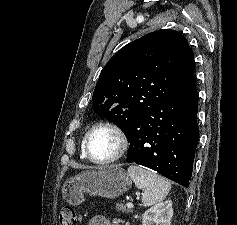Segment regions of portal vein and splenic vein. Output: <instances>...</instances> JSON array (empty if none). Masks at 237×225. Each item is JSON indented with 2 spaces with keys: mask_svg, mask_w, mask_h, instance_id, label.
I'll use <instances>...</instances> for the list:
<instances>
[{
  "mask_svg": "<svg viewBox=\"0 0 237 225\" xmlns=\"http://www.w3.org/2000/svg\"><path fill=\"white\" fill-rule=\"evenodd\" d=\"M127 207L130 208V209L133 208L132 202H128V203H127Z\"/></svg>",
  "mask_w": 237,
  "mask_h": 225,
  "instance_id": "portal-vein-and-splenic-vein-1",
  "label": "portal vein and splenic vein"
}]
</instances>
